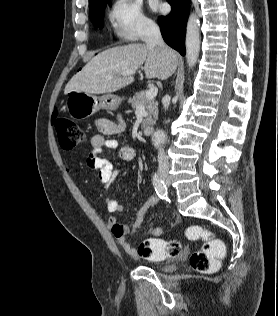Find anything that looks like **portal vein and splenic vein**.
Segmentation results:
<instances>
[{"instance_id":"portal-vein-and-splenic-vein-1","label":"portal vein and splenic vein","mask_w":278,"mask_h":316,"mask_svg":"<svg viewBox=\"0 0 278 316\" xmlns=\"http://www.w3.org/2000/svg\"><path fill=\"white\" fill-rule=\"evenodd\" d=\"M135 72H136V69H134V70H127V71H124V72L122 73V75H123V76L132 75V74H134ZM106 78H107V79H112L113 76H107ZM157 93H158V88H157L156 86H153V87H150V88L146 91L145 96H146V98H148V99H153V98L156 97Z\"/></svg>"}]
</instances>
